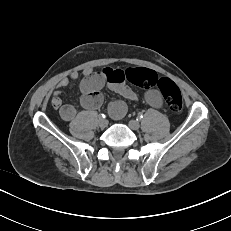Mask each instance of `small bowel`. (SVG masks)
Returning a JSON list of instances; mask_svg holds the SVG:
<instances>
[{
    "mask_svg": "<svg viewBox=\"0 0 231 231\" xmlns=\"http://www.w3.org/2000/svg\"><path fill=\"white\" fill-rule=\"evenodd\" d=\"M79 77V73L73 71L60 79L51 100L52 107L59 111L61 119L65 122H70L76 117L77 109L72 104H63L64 90L75 85ZM105 86L127 100H138L137 93L127 84L125 71L111 68L94 71L91 68H85L80 81L81 106L86 110L98 109L103 103L101 90ZM144 98L147 104L154 108H160L163 105L162 95L158 90H147ZM109 112L113 118L119 119L125 114V107L120 103H112L109 106Z\"/></svg>",
    "mask_w": 231,
    "mask_h": 231,
    "instance_id": "c3829d8e",
    "label": "small bowel"
}]
</instances>
